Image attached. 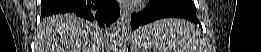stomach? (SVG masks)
Segmentation results:
<instances>
[{
  "label": "stomach",
  "instance_id": "0dacf381",
  "mask_svg": "<svg viewBox=\"0 0 261 52\" xmlns=\"http://www.w3.org/2000/svg\"><path fill=\"white\" fill-rule=\"evenodd\" d=\"M145 31L144 28H140L130 37L131 45L137 50H147L154 45L151 37H148Z\"/></svg>",
  "mask_w": 261,
  "mask_h": 52
}]
</instances>
